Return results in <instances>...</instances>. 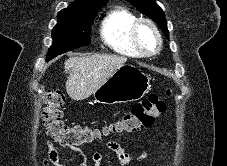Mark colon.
Instances as JSON below:
<instances>
[{"label": "colon", "mask_w": 227, "mask_h": 166, "mask_svg": "<svg viewBox=\"0 0 227 166\" xmlns=\"http://www.w3.org/2000/svg\"><path fill=\"white\" fill-rule=\"evenodd\" d=\"M169 91L167 95H169ZM65 96L59 89L50 90L46 96V107L43 113V123L46 132L63 146L87 145L99 140L103 133L97 129L80 126H69L62 120V108ZM166 108L163 97L156 93L149 94L136 103L128 113L122 115L114 125L116 132L134 133L151 127L154 118Z\"/></svg>", "instance_id": "colon-1"}]
</instances>
